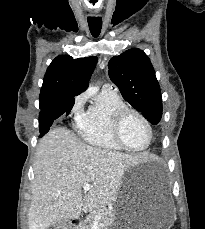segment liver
<instances>
[{"label": "liver", "mask_w": 205, "mask_h": 229, "mask_svg": "<svg viewBox=\"0 0 205 229\" xmlns=\"http://www.w3.org/2000/svg\"><path fill=\"white\" fill-rule=\"evenodd\" d=\"M140 162L141 156L89 146L66 128H52L36 149L29 229H47L114 202L125 172Z\"/></svg>", "instance_id": "1"}]
</instances>
